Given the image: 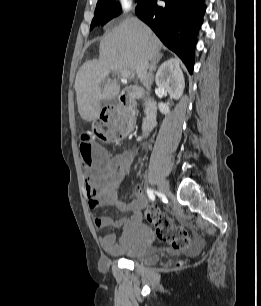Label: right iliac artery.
Listing matches in <instances>:
<instances>
[{
  "label": "right iliac artery",
  "mask_w": 261,
  "mask_h": 306,
  "mask_svg": "<svg viewBox=\"0 0 261 306\" xmlns=\"http://www.w3.org/2000/svg\"><path fill=\"white\" fill-rule=\"evenodd\" d=\"M147 194H148V197L152 200V201H154L155 200V195H154V191L153 190H151V189H147Z\"/></svg>",
  "instance_id": "1"
}]
</instances>
